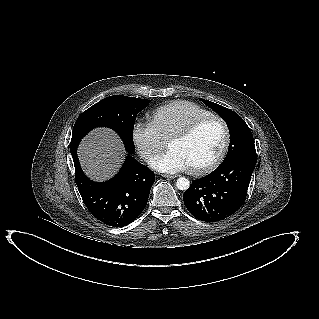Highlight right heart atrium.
I'll list each match as a JSON object with an SVG mask.
<instances>
[{
	"instance_id": "1",
	"label": "right heart atrium",
	"mask_w": 319,
	"mask_h": 319,
	"mask_svg": "<svg viewBox=\"0 0 319 319\" xmlns=\"http://www.w3.org/2000/svg\"><path fill=\"white\" fill-rule=\"evenodd\" d=\"M131 137L138 153L147 162L160 153L167 144L151 122L137 121L132 127Z\"/></svg>"
}]
</instances>
